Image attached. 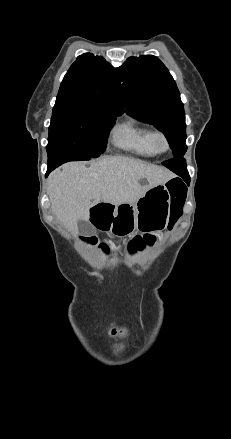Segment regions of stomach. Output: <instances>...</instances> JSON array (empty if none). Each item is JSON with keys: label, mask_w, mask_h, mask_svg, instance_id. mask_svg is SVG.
<instances>
[{"label": "stomach", "mask_w": 231, "mask_h": 439, "mask_svg": "<svg viewBox=\"0 0 231 439\" xmlns=\"http://www.w3.org/2000/svg\"><path fill=\"white\" fill-rule=\"evenodd\" d=\"M128 205V217L122 218L112 227L117 235H130L136 230L163 229L169 220L170 194L165 183L150 188L135 204Z\"/></svg>", "instance_id": "1"}]
</instances>
